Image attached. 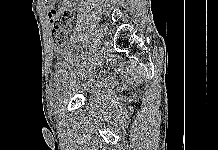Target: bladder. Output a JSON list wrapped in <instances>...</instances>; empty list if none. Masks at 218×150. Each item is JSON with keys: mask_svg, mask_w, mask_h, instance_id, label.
I'll list each match as a JSON object with an SVG mask.
<instances>
[{"mask_svg": "<svg viewBox=\"0 0 218 150\" xmlns=\"http://www.w3.org/2000/svg\"><path fill=\"white\" fill-rule=\"evenodd\" d=\"M79 82L80 81L77 79L76 75H74V73L68 69L60 72L57 77V83L59 87L65 89L66 91H81L82 86H77Z\"/></svg>", "mask_w": 218, "mask_h": 150, "instance_id": "bladder-1", "label": "bladder"}]
</instances>
